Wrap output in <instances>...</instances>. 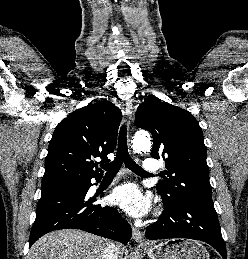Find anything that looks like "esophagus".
<instances>
[{
    "label": "esophagus",
    "mask_w": 248,
    "mask_h": 259,
    "mask_svg": "<svg viewBox=\"0 0 248 259\" xmlns=\"http://www.w3.org/2000/svg\"><path fill=\"white\" fill-rule=\"evenodd\" d=\"M124 111H125V114H126V117H127L128 127H130V125L134 121V108H133V105H132L131 101H127L125 103ZM132 238L137 243H141V244L146 243L145 239L143 238L142 232L136 227H132Z\"/></svg>",
    "instance_id": "obj_1"
}]
</instances>
